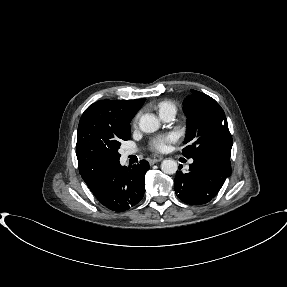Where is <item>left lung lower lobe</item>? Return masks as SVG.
<instances>
[{"mask_svg":"<svg viewBox=\"0 0 287 287\" xmlns=\"http://www.w3.org/2000/svg\"><path fill=\"white\" fill-rule=\"evenodd\" d=\"M189 172H176L175 193L183 202L201 205L214 198L231 174L230 156L210 152L193 157ZM181 169V167H179Z\"/></svg>","mask_w":287,"mask_h":287,"instance_id":"1","label":"left lung lower lobe"}]
</instances>
